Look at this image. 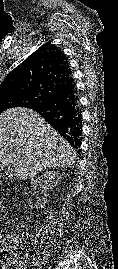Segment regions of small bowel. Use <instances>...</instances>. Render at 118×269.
<instances>
[{
  "label": "small bowel",
  "instance_id": "small-bowel-1",
  "mask_svg": "<svg viewBox=\"0 0 118 269\" xmlns=\"http://www.w3.org/2000/svg\"><path fill=\"white\" fill-rule=\"evenodd\" d=\"M11 269H22V267L18 266V265H15L13 266Z\"/></svg>",
  "mask_w": 118,
  "mask_h": 269
}]
</instances>
